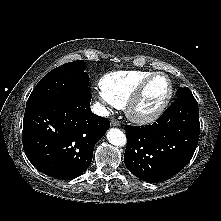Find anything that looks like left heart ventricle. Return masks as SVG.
I'll return each mask as SVG.
<instances>
[{"label": "left heart ventricle", "mask_w": 221, "mask_h": 221, "mask_svg": "<svg viewBox=\"0 0 221 221\" xmlns=\"http://www.w3.org/2000/svg\"><path fill=\"white\" fill-rule=\"evenodd\" d=\"M169 91V83L163 76L154 78L147 86L137 106V111L146 114L154 111L165 99Z\"/></svg>", "instance_id": "b2bd125f"}]
</instances>
